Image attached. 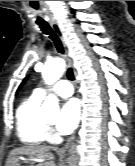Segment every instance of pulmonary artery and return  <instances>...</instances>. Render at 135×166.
I'll return each mask as SVG.
<instances>
[{
    "label": "pulmonary artery",
    "instance_id": "1",
    "mask_svg": "<svg viewBox=\"0 0 135 166\" xmlns=\"http://www.w3.org/2000/svg\"><path fill=\"white\" fill-rule=\"evenodd\" d=\"M53 92L60 97L67 98L73 94L74 90H73V86L71 85L69 81L60 80L53 88ZM47 93H48V90L41 87L36 88L33 91V95L41 99H43L47 95Z\"/></svg>",
    "mask_w": 135,
    "mask_h": 166
}]
</instances>
